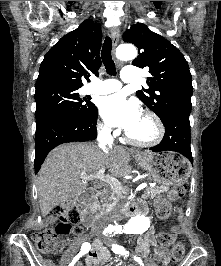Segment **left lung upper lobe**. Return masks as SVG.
<instances>
[{"label": "left lung upper lobe", "instance_id": "5c2ea615", "mask_svg": "<svg viewBox=\"0 0 221 266\" xmlns=\"http://www.w3.org/2000/svg\"><path fill=\"white\" fill-rule=\"evenodd\" d=\"M123 39L136 45L139 50L132 64L140 68L149 67L152 75L147 80L149 88L137 91V97L162 122L172 113L190 114L192 76L184 55L143 23L132 25L124 32Z\"/></svg>", "mask_w": 221, "mask_h": 266}]
</instances>
